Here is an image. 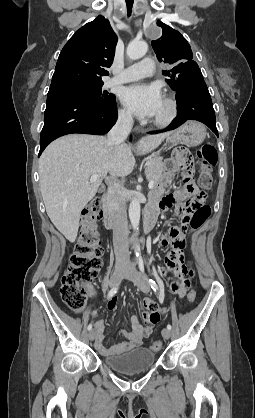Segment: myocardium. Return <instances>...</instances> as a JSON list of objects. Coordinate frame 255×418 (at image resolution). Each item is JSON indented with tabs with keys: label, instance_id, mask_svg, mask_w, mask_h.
Returning <instances> with one entry per match:
<instances>
[{
	"label": "myocardium",
	"instance_id": "myocardium-1",
	"mask_svg": "<svg viewBox=\"0 0 255 418\" xmlns=\"http://www.w3.org/2000/svg\"><path fill=\"white\" fill-rule=\"evenodd\" d=\"M164 103L166 106L165 113L161 116L155 117L152 120V123L157 127H166L170 125L178 113V103L174 97L166 96L164 98Z\"/></svg>",
	"mask_w": 255,
	"mask_h": 418
}]
</instances>
